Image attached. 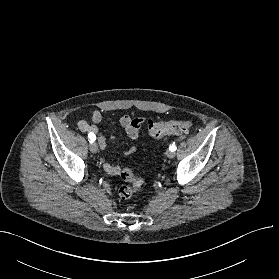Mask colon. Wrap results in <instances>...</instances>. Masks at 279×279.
<instances>
[{"mask_svg":"<svg viewBox=\"0 0 279 279\" xmlns=\"http://www.w3.org/2000/svg\"><path fill=\"white\" fill-rule=\"evenodd\" d=\"M191 123L186 120H172L167 122L150 121L148 125V133L156 139L165 138L169 135H179L190 130ZM121 178L128 184L123 185L118 190L121 199H130L136 192L145 188V181L133 174L129 167H124L121 171Z\"/></svg>","mask_w":279,"mask_h":279,"instance_id":"colon-1","label":"colon"}]
</instances>
